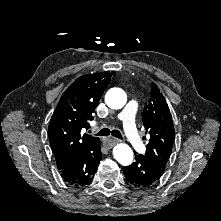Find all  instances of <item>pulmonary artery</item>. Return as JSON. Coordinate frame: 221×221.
<instances>
[{
	"mask_svg": "<svg viewBox=\"0 0 221 221\" xmlns=\"http://www.w3.org/2000/svg\"><path fill=\"white\" fill-rule=\"evenodd\" d=\"M137 101H129L125 108L118 114L117 118L123 122L124 132L131 145L140 151H144L143 142L137 132L135 123V112Z\"/></svg>",
	"mask_w": 221,
	"mask_h": 221,
	"instance_id": "1",
	"label": "pulmonary artery"
}]
</instances>
